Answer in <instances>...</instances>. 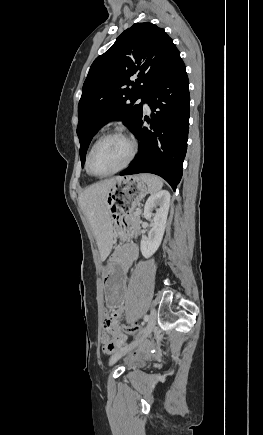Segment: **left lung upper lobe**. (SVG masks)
I'll list each match as a JSON object with an SVG mask.
<instances>
[{
	"mask_svg": "<svg viewBox=\"0 0 263 435\" xmlns=\"http://www.w3.org/2000/svg\"><path fill=\"white\" fill-rule=\"evenodd\" d=\"M180 59L179 50L164 29L150 22L136 23L125 30L95 59L78 105L82 166L90 141L105 123L122 120L134 131L143 102ZM140 98L142 102L136 104Z\"/></svg>",
	"mask_w": 263,
	"mask_h": 435,
	"instance_id": "obj_1",
	"label": "left lung upper lobe"
}]
</instances>
